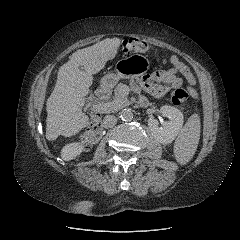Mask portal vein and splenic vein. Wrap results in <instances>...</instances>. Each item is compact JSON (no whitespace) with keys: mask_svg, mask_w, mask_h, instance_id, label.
<instances>
[{"mask_svg":"<svg viewBox=\"0 0 240 240\" xmlns=\"http://www.w3.org/2000/svg\"><path fill=\"white\" fill-rule=\"evenodd\" d=\"M111 106V103H105L104 105H102V108L109 109Z\"/></svg>","mask_w":240,"mask_h":240,"instance_id":"1","label":"portal vein and splenic vein"}]
</instances>
